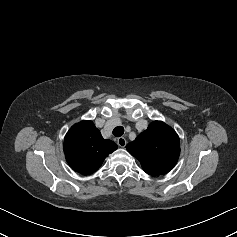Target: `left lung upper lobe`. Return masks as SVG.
<instances>
[{"mask_svg":"<svg viewBox=\"0 0 237 237\" xmlns=\"http://www.w3.org/2000/svg\"><path fill=\"white\" fill-rule=\"evenodd\" d=\"M126 149L140 161L146 173L158 176L168 173L178 161L179 137L164 122L154 121Z\"/></svg>","mask_w":237,"mask_h":237,"instance_id":"5c2ea615","label":"left lung upper lobe"}]
</instances>
